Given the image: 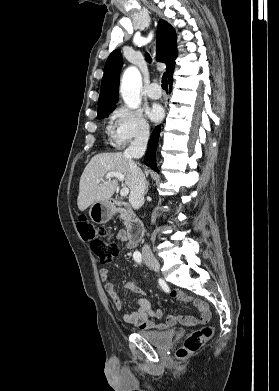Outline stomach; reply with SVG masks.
<instances>
[{
	"mask_svg": "<svg viewBox=\"0 0 279 391\" xmlns=\"http://www.w3.org/2000/svg\"><path fill=\"white\" fill-rule=\"evenodd\" d=\"M93 222L103 224L108 222L113 215V207L108 201L95 202L89 210Z\"/></svg>",
	"mask_w": 279,
	"mask_h": 391,
	"instance_id": "obj_1",
	"label": "stomach"
}]
</instances>
